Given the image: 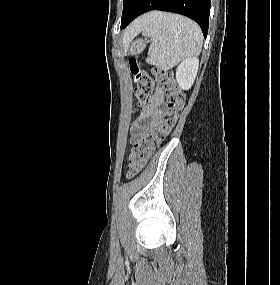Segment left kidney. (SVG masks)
Instances as JSON below:
<instances>
[{"label": "left kidney", "instance_id": "left-kidney-1", "mask_svg": "<svg viewBox=\"0 0 280 285\" xmlns=\"http://www.w3.org/2000/svg\"><path fill=\"white\" fill-rule=\"evenodd\" d=\"M199 66L197 57H188L180 63L176 70V80L179 87L188 90L193 85Z\"/></svg>", "mask_w": 280, "mask_h": 285}]
</instances>
